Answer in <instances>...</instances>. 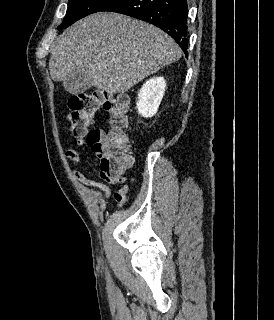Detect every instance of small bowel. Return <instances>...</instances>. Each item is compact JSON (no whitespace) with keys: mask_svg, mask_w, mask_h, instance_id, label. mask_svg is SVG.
<instances>
[{"mask_svg":"<svg viewBox=\"0 0 274 320\" xmlns=\"http://www.w3.org/2000/svg\"><path fill=\"white\" fill-rule=\"evenodd\" d=\"M86 145H89L87 140L84 139V138H81V139H78L77 142H76V146L77 147H84ZM99 156L102 155L101 152H96ZM66 157L72 161L73 163L75 164H79L80 163V155H79V152L76 148H70L68 150H66V153H65ZM130 161H132V158L130 157ZM126 168H124L122 170V172L125 170ZM72 174L74 176V178L79 182L81 183L82 185L88 187V188H91V189H94V190H97V191H100L104 194V199L105 200H108L111 196V190L110 188L104 184V183H101V182H97V181H94L92 179H89L87 178L81 171H79L78 169H72ZM100 177L104 180L105 176L102 172H100ZM116 198V197H115ZM117 202H118V205L119 206H122L126 203V197H123L121 199H117Z\"/></svg>","mask_w":274,"mask_h":320,"instance_id":"obj_1","label":"small bowel"}]
</instances>
